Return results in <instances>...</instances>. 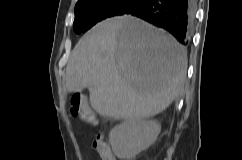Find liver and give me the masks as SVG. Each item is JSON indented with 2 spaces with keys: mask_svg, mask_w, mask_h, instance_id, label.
Wrapping results in <instances>:
<instances>
[{
  "mask_svg": "<svg viewBox=\"0 0 242 160\" xmlns=\"http://www.w3.org/2000/svg\"><path fill=\"white\" fill-rule=\"evenodd\" d=\"M187 53L171 35L132 16L95 25L77 43L66 67L68 92L89 89L100 115L143 120L179 95Z\"/></svg>",
  "mask_w": 242,
  "mask_h": 160,
  "instance_id": "liver-1",
  "label": "liver"
}]
</instances>
